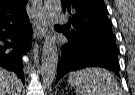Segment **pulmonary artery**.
Returning <instances> with one entry per match:
<instances>
[{
	"label": "pulmonary artery",
	"mask_w": 135,
	"mask_h": 95,
	"mask_svg": "<svg viewBox=\"0 0 135 95\" xmlns=\"http://www.w3.org/2000/svg\"><path fill=\"white\" fill-rule=\"evenodd\" d=\"M55 20L58 23H65L67 21V16L62 15V14H56L55 15Z\"/></svg>",
	"instance_id": "obj_1"
}]
</instances>
